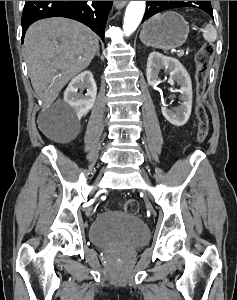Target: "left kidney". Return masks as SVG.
I'll return each instance as SVG.
<instances>
[{"label":"left kidney","mask_w":237,"mask_h":300,"mask_svg":"<svg viewBox=\"0 0 237 300\" xmlns=\"http://www.w3.org/2000/svg\"><path fill=\"white\" fill-rule=\"evenodd\" d=\"M160 69H168L170 71V79L168 83L174 85V81H177V85H180V89L176 93L181 95V103L178 109H167V107H161L162 115L176 127H182L190 119L192 111V83L190 75H188L186 69L181 65L178 59L173 57H165L161 53H150L147 61L146 77L149 85L155 87L158 83V75Z\"/></svg>","instance_id":"5707ae66"}]
</instances>
